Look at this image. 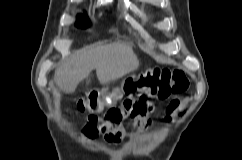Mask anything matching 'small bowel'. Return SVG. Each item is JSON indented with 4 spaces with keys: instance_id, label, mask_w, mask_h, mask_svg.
Returning a JSON list of instances; mask_svg holds the SVG:
<instances>
[{
    "instance_id": "1",
    "label": "small bowel",
    "mask_w": 242,
    "mask_h": 160,
    "mask_svg": "<svg viewBox=\"0 0 242 160\" xmlns=\"http://www.w3.org/2000/svg\"><path fill=\"white\" fill-rule=\"evenodd\" d=\"M176 108V107H175ZM175 108L169 110V114H171ZM122 112H124L123 107L120 108ZM125 114L123 115L124 118ZM135 119V124L137 126H144L146 125L147 118H134ZM104 133V139L111 144H117L121 141V139L124 136V129L120 123H117L115 125H108L106 129L103 131Z\"/></svg>"
}]
</instances>
